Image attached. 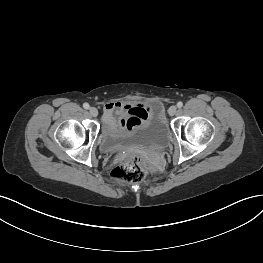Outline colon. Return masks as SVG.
<instances>
[{
	"label": "colon",
	"instance_id": "colon-1",
	"mask_svg": "<svg viewBox=\"0 0 263 263\" xmlns=\"http://www.w3.org/2000/svg\"><path fill=\"white\" fill-rule=\"evenodd\" d=\"M144 160L141 155L134 154L112 170V176L128 183L140 182L144 177Z\"/></svg>",
	"mask_w": 263,
	"mask_h": 263
}]
</instances>
